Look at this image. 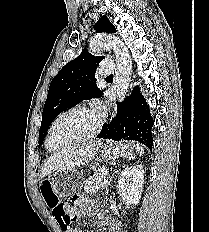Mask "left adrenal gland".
<instances>
[{
    "label": "left adrenal gland",
    "mask_w": 209,
    "mask_h": 232,
    "mask_svg": "<svg viewBox=\"0 0 209 232\" xmlns=\"http://www.w3.org/2000/svg\"><path fill=\"white\" fill-rule=\"evenodd\" d=\"M112 178H113V175L111 176L109 183L111 182ZM106 194H108V190L106 191Z\"/></svg>",
    "instance_id": "1"
}]
</instances>
